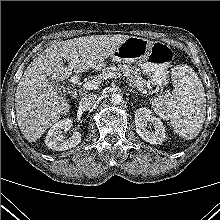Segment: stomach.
I'll return each mask as SVG.
<instances>
[{"instance_id": "stomach-1", "label": "stomach", "mask_w": 220, "mask_h": 220, "mask_svg": "<svg viewBox=\"0 0 220 220\" xmlns=\"http://www.w3.org/2000/svg\"><path fill=\"white\" fill-rule=\"evenodd\" d=\"M116 62L135 63L142 72L149 76L156 86L168 84V68L174 59V54L169 45L160 41L131 36L126 39L112 54ZM102 62L94 67L100 69Z\"/></svg>"}]
</instances>
